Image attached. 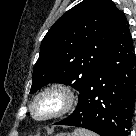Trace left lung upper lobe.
I'll return each instance as SVG.
<instances>
[{
    "label": "left lung upper lobe",
    "mask_w": 136,
    "mask_h": 136,
    "mask_svg": "<svg viewBox=\"0 0 136 136\" xmlns=\"http://www.w3.org/2000/svg\"><path fill=\"white\" fill-rule=\"evenodd\" d=\"M124 20L111 0H84L67 11L42 40L30 93L51 82L80 92Z\"/></svg>",
    "instance_id": "5c2ea615"
}]
</instances>
